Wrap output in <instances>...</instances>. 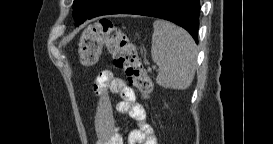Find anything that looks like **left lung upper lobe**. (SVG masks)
Returning <instances> with one entry per match:
<instances>
[{"mask_svg": "<svg viewBox=\"0 0 273 144\" xmlns=\"http://www.w3.org/2000/svg\"><path fill=\"white\" fill-rule=\"evenodd\" d=\"M87 1H88V4L86 6H89V5H93L96 0H87ZM82 2H83L82 0H74L73 13L77 12L80 9H84L85 3H82Z\"/></svg>", "mask_w": 273, "mask_h": 144, "instance_id": "5c2ea615", "label": "left lung upper lobe"}]
</instances>
